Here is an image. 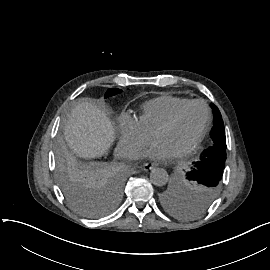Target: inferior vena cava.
Here are the masks:
<instances>
[{"label": "inferior vena cava", "mask_w": 270, "mask_h": 270, "mask_svg": "<svg viewBox=\"0 0 270 270\" xmlns=\"http://www.w3.org/2000/svg\"><path fill=\"white\" fill-rule=\"evenodd\" d=\"M115 155L120 158H126V159H136L137 154L125 143L119 141L116 149H115Z\"/></svg>", "instance_id": "inferior-vena-cava-1"}]
</instances>
